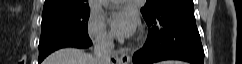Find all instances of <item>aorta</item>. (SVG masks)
<instances>
[{"label": "aorta", "instance_id": "762f6f07", "mask_svg": "<svg viewBox=\"0 0 242 64\" xmlns=\"http://www.w3.org/2000/svg\"><path fill=\"white\" fill-rule=\"evenodd\" d=\"M100 2L102 3V5H103L104 7H107L108 4H109V0H100Z\"/></svg>", "mask_w": 242, "mask_h": 64}]
</instances>
